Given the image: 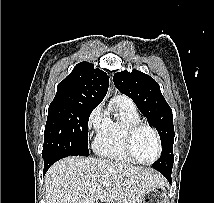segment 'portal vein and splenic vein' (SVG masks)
<instances>
[{
  "instance_id": "obj_1",
  "label": "portal vein and splenic vein",
  "mask_w": 214,
  "mask_h": 203,
  "mask_svg": "<svg viewBox=\"0 0 214 203\" xmlns=\"http://www.w3.org/2000/svg\"><path fill=\"white\" fill-rule=\"evenodd\" d=\"M102 185L104 186V187H109V185H110V182L109 181H104L103 183H102Z\"/></svg>"
}]
</instances>
